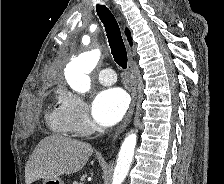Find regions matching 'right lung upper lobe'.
Instances as JSON below:
<instances>
[{"label":"right lung upper lobe","mask_w":224,"mask_h":184,"mask_svg":"<svg viewBox=\"0 0 224 184\" xmlns=\"http://www.w3.org/2000/svg\"><path fill=\"white\" fill-rule=\"evenodd\" d=\"M126 36H127V39H128V41H129V43H130V45H132V40H131V34H130V31L129 30H126Z\"/></svg>","instance_id":"cb5924a9"}]
</instances>
